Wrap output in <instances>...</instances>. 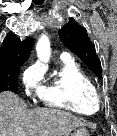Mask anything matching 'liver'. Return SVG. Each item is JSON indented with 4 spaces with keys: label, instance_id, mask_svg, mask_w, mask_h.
I'll list each match as a JSON object with an SVG mask.
<instances>
[{
    "label": "liver",
    "instance_id": "liver-1",
    "mask_svg": "<svg viewBox=\"0 0 117 136\" xmlns=\"http://www.w3.org/2000/svg\"><path fill=\"white\" fill-rule=\"evenodd\" d=\"M85 124L70 112L28 109L14 93H0V136H69L72 130Z\"/></svg>",
    "mask_w": 117,
    "mask_h": 136
}]
</instances>
